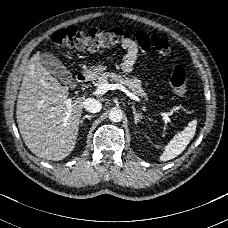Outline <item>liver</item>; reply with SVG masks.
Segmentation results:
<instances>
[{
	"label": "liver",
	"mask_w": 228,
	"mask_h": 228,
	"mask_svg": "<svg viewBox=\"0 0 228 228\" xmlns=\"http://www.w3.org/2000/svg\"><path fill=\"white\" fill-rule=\"evenodd\" d=\"M41 52L30 59L23 77L16 107L17 125L35 156L59 161L76 147L85 98H68L66 88L43 66Z\"/></svg>",
	"instance_id": "obj_1"
}]
</instances>
